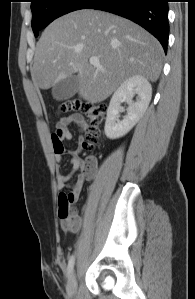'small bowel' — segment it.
I'll list each match as a JSON object with an SVG mask.
<instances>
[{
    "label": "small bowel",
    "instance_id": "obj_1",
    "mask_svg": "<svg viewBox=\"0 0 195 299\" xmlns=\"http://www.w3.org/2000/svg\"><path fill=\"white\" fill-rule=\"evenodd\" d=\"M76 125L81 131L86 132L88 129V125L86 120L79 114H73L62 118L57 124V130L52 134L51 139L55 149V158L57 162V166L59 167L62 162V155L65 152L63 147L64 141H70L73 138V133L71 130V126ZM85 137L81 136L78 140V144L76 148L68 151L71 156V173L68 175L59 174L57 177V187L59 190L64 189L66 183L71 178V175L76 172L81 167H85L87 163L88 167L91 170V173L95 172L96 163L93 158L88 159L85 163L80 159V154L84 149ZM83 178L82 176L77 177V181L72 189L67 193V195H71L74 198V202L77 200L78 195L81 190ZM60 224L62 229L69 232H78L83 225V218L81 215L75 212L74 215L69 217H60Z\"/></svg>",
    "mask_w": 195,
    "mask_h": 299
}]
</instances>
